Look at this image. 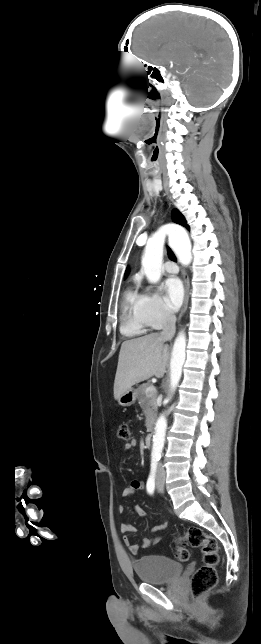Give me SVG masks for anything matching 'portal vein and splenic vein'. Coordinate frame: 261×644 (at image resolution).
<instances>
[{
	"label": "portal vein and splenic vein",
	"instance_id": "1",
	"mask_svg": "<svg viewBox=\"0 0 261 644\" xmlns=\"http://www.w3.org/2000/svg\"><path fill=\"white\" fill-rule=\"evenodd\" d=\"M154 391H156V388L153 385L146 388V394H151Z\"/></svg>",
	"mask_w": 261,
	"mask_h": 644
}]
</instances>
